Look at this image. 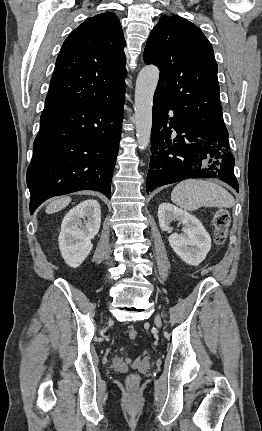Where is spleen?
<instances>
[{"mask_svg": "<svg viewBox=\"0 0 262 431\" xmlns=\"http://www.w3.org/2000/svg\"><path fill=\"white\" fill-rule=\"evenodd\" d=\"M171 200L187 211L201 206L231 208L235 205L233 196L225 188L201 179H189L177 184L172 190Z\"/></svg>", "mask_w": 262, "mask_h": 431, "instance_id": "spleen-1", "label": "spleen"}]
</instances>
